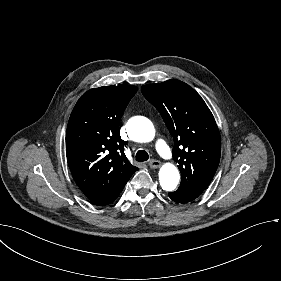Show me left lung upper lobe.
<instances>
[{"label":"left lung upper lobe","mask_w":281,"mask_h":281,"mask_svg":"<svg viewBox=\"0 0 281 281\" xmlns=\"http://www.w3.org/2000/svg\"><path fill=\"white\" fill-rule=\"evenodd\" d=\"M141 91L174 138L173 159L182 176L179 188L200 195L220 161V133L211 111L192 87L176 79L144 85Z\"/></svg>","instance_id":"5c2ea615"}]
</instances>
